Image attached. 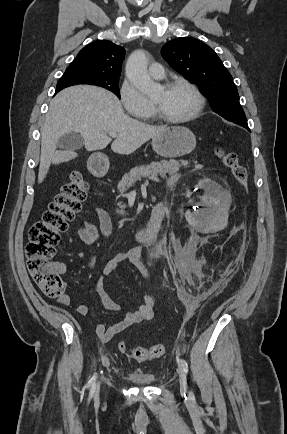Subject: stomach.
<instances>
[{"mask_svg": "<svg viewBox=\"0 0 287 434\" xmlns=\"http://www.w3.org/2000/svg\"><path fill=\"white\" fill-rule=\"evenodd\" d=\"M196 146V137L186 127H168L156 137L152 138V148L160 156L176 158L189 154ZM92 158L108 164V159L101 153H94Z\"/></svg>", "mask_w": 287, "mask_h": 434, "instance_id": "0dacf381", "label": "stomach"}]
</instances>
